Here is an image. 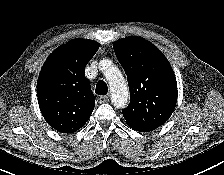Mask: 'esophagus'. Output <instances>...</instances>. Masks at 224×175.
<instances>
[{
  "label": "esophagus",
  "instance_id": "34e87169",
  "mask_svg": "<svg viewBox=\"0 0 224 175\" xmlns=\"http://www.w3.org/2000/svg\"><path fill=\"white\" fill-rule=\"evenodd\" d=\"M98 100H99L100 103H106V102L109 101V97L107 95H102V96L99 97Z\"/></svg>",
  "mask_w": 224,
  "mask_h": 175
}]
</instances>
